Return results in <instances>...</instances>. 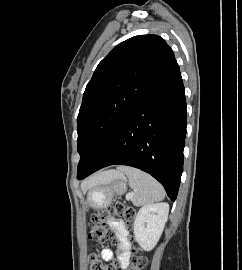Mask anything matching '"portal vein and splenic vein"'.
<instances>
[{"label":"portal vein and splenic vein","mask_w":242,"mask_h":270,"mask_svg":"<svg viewBox=\"0 0 242 270\" xmlns=\"http://www.w3.org/2000/svg\"><path fill=\"white\" fill-rule=\"evenodd\" d=\"M132 195H133L132 193L128 194V195L126 196V199L129 200V199L132 197Z\"/></svg>","instance_id":"1"}]
</instances>
